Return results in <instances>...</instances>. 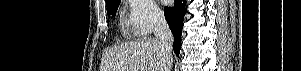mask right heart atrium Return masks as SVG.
I'll use <instances>...</instances> for the list:
<instances>
[{"mask_svg":"<svg viewBox=\"0 0 301 71\" xmlns=\"http://www.w3.org/2000/svg\"><path fill=\"white\" fill-rule=\"evenodd\" d=\"M128 26L139 37L153 32L162 22V14L152 0H127Z\"/></svg>","mask_w":301,"mask_h":71,"instance_id":"d8ad5b80","label":"right heart atrium"}]
</instances>
